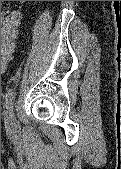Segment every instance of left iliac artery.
Here are the masks:
<instances>
[{"mask_svg": "<svg viewBox=\"0 0 121 169\" xmlns=\"http://www.w3.org/2000/svg\"><path fill=\"white\" fill-rule=\"evenodd\" d=\"M14 90L13 89H9L6 93L5 96V104H4V115H5V119L7 121H14L15 117H14Z\"/></svg>", "mask_w": 121, "mask_h": 169, "instance_id": "left-iliac-artery-1", "label": "left iliac artery"}]
</instances>
